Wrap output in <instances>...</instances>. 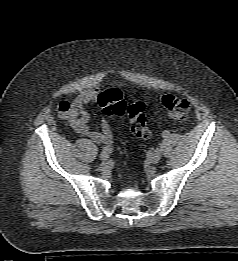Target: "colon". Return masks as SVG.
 <instances>
[{
    "label": "colon",
    "mask_w": 238,
    "mask_h": 261,
    "mask_svg": "<svg viewBox=\"0 0 238 261\" xmlns=\"http://www.w3.org/2000/svg\"><path fill=\"white\" fill-rule=\"evenodd\" d=\"M98 103L108 116L127 115L132 133L138 138L146 139L150 136L145 116V104L140 100L127 103L121 91L117 88L102 91ZM161 104L168 115L176 120H183L190 110V103L186 98L173 94H166L161 98Z\"/></svg>",
    "instance_id": "5ec220e1"
}]
</instances>
